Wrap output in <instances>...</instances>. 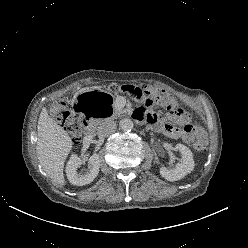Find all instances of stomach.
<instances>
[{
    "label": "stomach",
    "mask_w": 248,
    "mask_h": 248,
    "mask_svg": "<svg viewBox=\"0 0 248 248\" xmlns=\"http://www.w3.org/2000/svg\"><path fill=\"white\" fill-rule=\"evenodd\" d=\"M72 105L77 116H92L101 120L109 118L115 107L113 98L107 92L94 87L78 92Z\"/></svg>",
    "instance_id": "obj_1"
}]
</instances>
